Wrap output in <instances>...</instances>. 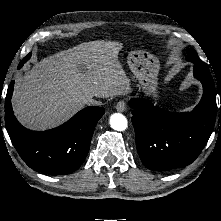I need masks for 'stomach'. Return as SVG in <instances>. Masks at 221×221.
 <instances>
[{
  "label": "stomach",
  "instance_id": "stomach-1",
  "mask_svg": "<svg viewBox=\"0 0 221 221\" xmlns=\"http://www.w3.org/2000/svg\"><path fill=\"white\" fill-rule=\"evenodd\" d=\"M127 63L144 94L158 99L157 76L160 63L157 57L145 51H134L128 55Z\"/></svg>",
  "mask_w": 221,
  "mask_h": 221
}]
</instances>
